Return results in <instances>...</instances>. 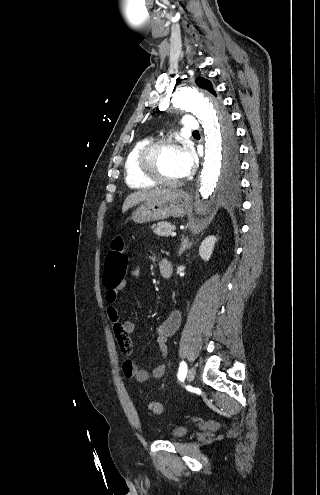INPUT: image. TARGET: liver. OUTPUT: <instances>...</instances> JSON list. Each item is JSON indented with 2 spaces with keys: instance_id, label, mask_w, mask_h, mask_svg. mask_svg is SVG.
<instances>
[{
  "instance_id": "obj_1",
  "label": "liver",
  "mask_w": 320,
  "mask_h": 495,
  "mask_svg": "<svg viewBox=\"0 0 320 495\" xmlns=\"http://www.w3.org/2000/svg\"><path fill=\"white\" fill-rule=\"evenodd\" d=\"M170 190H149V191H137L128 195L125 199L122 207V212H126L129 208L141 203L150 201L162 194L169 192Z\"/></svg>"
}]
</instances>
